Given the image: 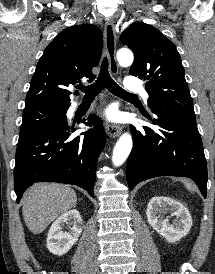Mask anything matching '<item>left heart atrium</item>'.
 <instances>
[{
    "label": "left heart atrium",
    "mask_w": 215,
    "mask_h": 274,
    "mask_svg": "<svg viewBox=\"0 0 215 274\" xmlns=\"http://www.w3.org/2000/svg\"><path fill=\"white\" fill-rule=\"evenodd\" d=\"M106 120L108 121H115L116 120V114L113 110H107L104 114Z\"/></svg>",
    "instance_id": "39dd6f15"
}]
</instances>
